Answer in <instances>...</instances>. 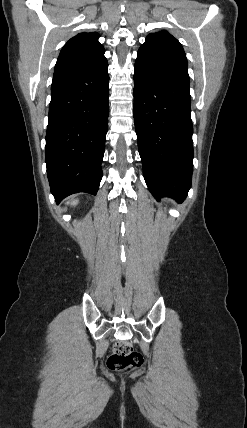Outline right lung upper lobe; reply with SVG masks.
I'll list each match as a JSON object with an SVG mask.
<instances>
[{
  "label": "right lung upper lobe",
  "mask_w": 247,
  "mask_h": 428,
  "mask_svg": "<svg viewBox=\"0 0 247 428\" xmlns=\"http://www.w3.org/2000/svg\"><path fill=\"white\" fill-rule=\"evenodd\" d=\"M98 38L96 32L80 33L71 38L60 52L54 75L84 68L104 56V47Z\"/></svg>",
  "instance_id": "right-lung-upper-lobe-1"
}]
</instances>
